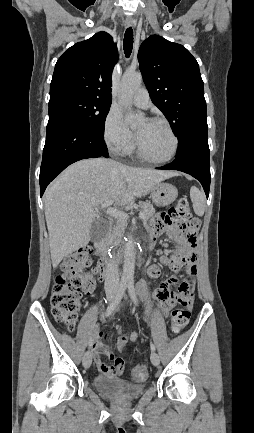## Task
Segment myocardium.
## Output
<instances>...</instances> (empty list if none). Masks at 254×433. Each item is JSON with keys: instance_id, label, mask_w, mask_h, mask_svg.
Returning a JSON list of instances; mask_svg holds the SVG:
<instances>
[{"instance_id": "f54148a6", "label": "myocardium", "mask_w": 254, "mask_h": 433, "mask_svg": "<svg viewBox=\"0 0 254 433\" xmlns=\"http://www.w3.org/2000/svg\"><path fill=\"white\" fill-rule=\"evenodd\" d=\"M148 121L162 124L167 129V131L169 132L170 136L173 139V148H172L171 153L167 157H165L163 159H153V158L149 157L144 152V150L142 149V147H141V145L137 139V136H135V148H136L138 156L142 160H144L148 163H152V164H165V163L170 162L171 160L174 159V157L176 156L178 149H179V139H178L176 133L174 132V130L171 127V125L169 124V122L163 118L152 117V118H149Z\"/></svg>"}]
</instances>
